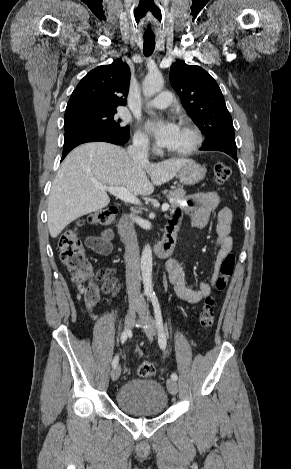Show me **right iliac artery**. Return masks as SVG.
I'll return each instance as SVG.
<instances>
[{
    "mask_svg": "<svg viewBox=\"0 0 291 469\" xmlns=\"http://www.w3.org/2000/svg\"><path fill=\"white\" fill-rule=\"evenodd\" d=\"M128 334H129V331L128 330H125L122 335H121V342L124 343L126 340H127V337H128ZM119 362V356L116 355L112 361V366L113 367H116L117 364Z\"/></svg>",
    "mask_w": 291,
    "mask_h": 469,
    "instance_id": "82829eb1",
    "label": "right iliac artery"
}]
</instances>
